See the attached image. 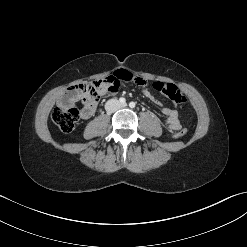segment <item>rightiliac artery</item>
Returning a JSON list of instances; mask_svg holds the SVG:
<instances>
[{"mask_svg": "<svg viewBox=\"0 0 247 247\" xmlns=\"http://www.w3.org/2000/svg\"><path fill=\"white\" fill-rule=\"evenodd\" d=\"M119 102H120L121 104H125V103H126V100H125V98L121 97V98L119 99Z\"/></svg>", "mask_w": 247, "mask_h": 247, "instance_id": "obj_1", "label": "right iliac artery"}]
</instances>
